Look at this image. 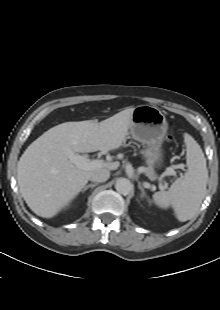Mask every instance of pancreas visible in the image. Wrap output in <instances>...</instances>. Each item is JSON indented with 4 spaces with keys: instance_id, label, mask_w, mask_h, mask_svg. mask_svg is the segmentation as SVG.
<instances>
[{
    "instance_id": "1",
    "label": "pancreas",
    "mask_w": 220,
    "mask_h": 310,
    "mask_svg": "<svg viewBox=\"0 0 220 310\" xmlns=\"http://www.w3.org/2000/svg\"><path fill=\"white\" fill-rule=\"evenodd\" d=\"M144 172H145L146 176L149 177L150 179H154L155 178V173H154L152 168H149V167L145 168Z\"/></svg>"
}]
</instances>
